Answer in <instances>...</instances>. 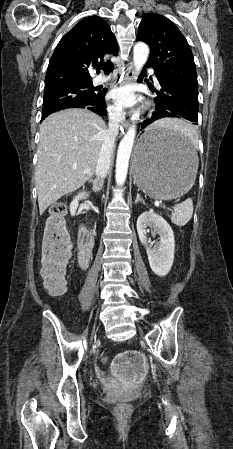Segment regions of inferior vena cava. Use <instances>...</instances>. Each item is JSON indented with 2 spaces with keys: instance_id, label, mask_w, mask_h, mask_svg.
I'll use <instances>...</instances> for the list:
<instances>
[{
  "instance_id": "inferior-vena-cava-1",
  "label": "inferior vena cava",
  "mask_w": 233,
  "mask_h": 449,
  "mask_svg": "<svg viewBox=\"0 0 233 449\" xmlns=\"http://www.w3.org/2000/svg\"><path fill=\"white\" fill-rule=\"evenodd\" d=\"M124 119L121 111L113 110L109 113V128L105 133L102 147L96 164L95 175L98 179L106 177L111 161L115 138L118 135L119 125Z\"/></svg>"
}]
</instances>
